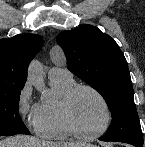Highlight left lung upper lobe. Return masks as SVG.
Returning a JSON list of instances; mask_svg holds the SVG:
<instances>
[{
    "label": "left lung upper lobe",
    "instance_id": "left-lung-upper-lobe-1",
    "mask_svg": "<svg viewBox=\"0 0 145 147\" xmlns=\"http://www.w3.org/2000/svg\"><path fill=\"white\" fill-rule=\"evenodd\" d=\"M57 42L67 68L105 99L112 123L106 140L143 143L127 61L117 43L97 27L84 25L61 32Z\"/></svg>",
    "mask_w": 145,
    "mask_h": 147
}]
</instances>
